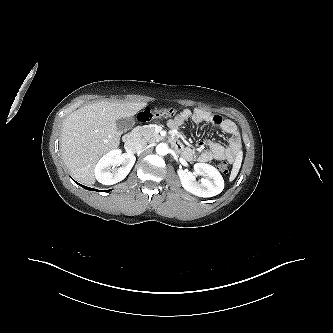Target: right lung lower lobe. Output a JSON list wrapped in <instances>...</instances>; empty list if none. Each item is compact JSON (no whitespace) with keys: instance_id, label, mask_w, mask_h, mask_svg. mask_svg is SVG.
<instances>
[{"instance_id":"right-lung-lower-lobe-1","label":"right lung lower lobe","mask_w":333,"mask_h":333,"mask_svg":"<svg viewBox=\"0 0 333 333\" xmlns=\"http://www.w3.org/2000/svg\"><path fill=\"white\" fill-rule=\"evenodd\" d=\"M78 184V183H77ZM80 186H82L84 189H87V190H95V191H98L97 189H93V188H90V187H86V186H83L81 184H79Z\"/></svg>"}]
</instances>
